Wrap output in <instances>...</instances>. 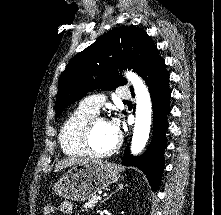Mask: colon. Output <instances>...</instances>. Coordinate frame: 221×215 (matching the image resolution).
Listing matches in <instances>:
<instances>
[{
	"mask_svg": "<svg viewBox=\"0 0 221 215\" xmlns=\"http://www.w3.org/2000/svg\"><path fill=\"white\" fill-rule=\"evenodd\" d=\"M44 215H53L55 213V207L51 204H46L43 207Z\"/></svg>",
	"mask_w": 221,
	"mask_h": 215,
	"instance_id": "5ec220e1",
	"label": "colon"
}]
</instances>
